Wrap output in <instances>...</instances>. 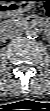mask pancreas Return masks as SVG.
<instances>
[{
	"instance_id": "pancreas-1",
	"label": "pancreas",
	"mask_w": 50,
	"mask_h": 111,
	"mask_svg": "<svg viewBox=\"0 0 50 111\" xmlns=\"http://www.w3.org/2000/svg\"><path fill=\"white\" fill-rule=\"evenodd\" d=\"M16 23H17V22H16L14 19L4 20V21L2 22V26H3L4 28H7V27H9V26H15Z\"/></svg>"
}]
</instances>
